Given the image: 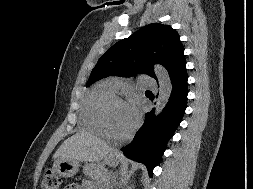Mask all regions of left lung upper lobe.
<instances>
[{
  "label": "left lung upper lobe",
  "instance_id": "obj_1",
  "mask_svg": "<svg viewBox=\"0 0 253 189\" xmlns=\"http://www.w3.org/2000/svg\"><path fill=\"white\" fill-rule=\"evenodd\" d=\"M184 61L179 34L170 25L152 23L113 45L98 60L86 86L108 76L146 73L156 78L154 64L163 65L172 76Z\"/></svg>",
  "mask_w": 253,
  "mask_h": 189
}]
</instances>
